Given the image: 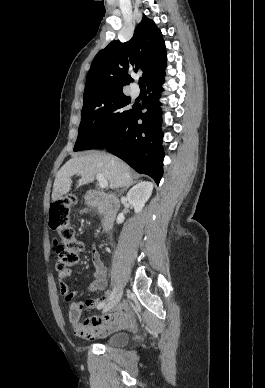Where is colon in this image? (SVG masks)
<instances>
[{
	"mask_svg": "<svg viewBox=\"0 0 265 388\" xmlns=\"http://www.w3.org/2000/svg\"><path fill=\"white\" fill-rule=\"evenodd\" d=\"M73 197H63L51 204L49 226L58 234L55 246L56 268L61 271L74 266L79 259L82 244L76 239L75 231L69 224V210Z\"/></svg>",
	"mask_w": 265,
	"mask_h": 388,
	"instance_id": "obj_1",
	"label": "colon"
}]
</instances>
